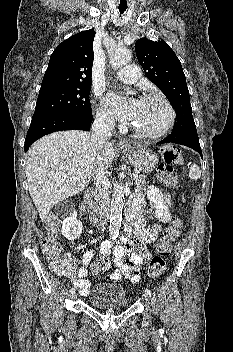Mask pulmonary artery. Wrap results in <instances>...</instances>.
Returning a JSON list of instances; mask_svg holds the SVG:
<instances>
[{"instance_id": "pulmonary-artery-1", "label": "pulmonary artery", "mask_w": 233, "mask_h": 352, "mask_svg": "<svg viewBox=\"0 0 233 352\" xmlns=\"http://www.w3.org/2000/svg\"><path fill=\"white\" fill-rule=\"evenodd\" d=\"M116 77L124 83L132 84L140 78V70L136 65H127L116 72Z\"/></svg>"}]
</instances>
